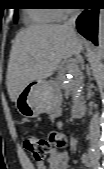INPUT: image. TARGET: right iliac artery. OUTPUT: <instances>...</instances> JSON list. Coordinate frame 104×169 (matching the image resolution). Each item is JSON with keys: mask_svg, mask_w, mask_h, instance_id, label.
Returning a JSON list of instances; mask_svg holds the SVG:
<instances>
[{"mask_svg": "<svg viewBox=\"0 0 104 169\" xmlns=\"http://www.w3.org/2000/svg\"><path fill=\"white\" fill-rule=\"evenodd\" d=\"M88 155H89V158L91 160L93 169H101L99 162H98V158H97L96 153H95V150L92 147H90L88 149Z\"/></svg>", "mask_w": 104, "mask_h": 169, "instance_id": "right-iliac-artery-1", "label": "right iliac artery"}]
</instances>
